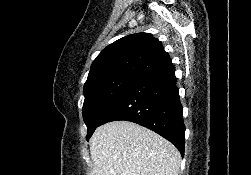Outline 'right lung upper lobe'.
<instances>
[{
  "label": "right lung upper lobe",
  "instance_id": "cb5924a9",
  "mask_svg": "<svg viewBox=\"0 0 251 175\" xmlns=\"http://www.w3.org/2000/svg\"><path fill=\"white\" fill-rule=\"evenodd\" d=\"M173 68L169 54L158 39L149 33H137L102 50L91 65L85 85L120 75L141 80Z\"/></svg>",
  "mask_w": 251,
  "mask_h": 175
}]
</instances>
